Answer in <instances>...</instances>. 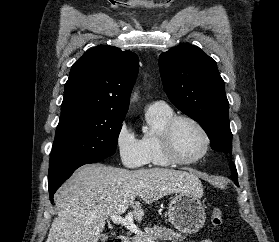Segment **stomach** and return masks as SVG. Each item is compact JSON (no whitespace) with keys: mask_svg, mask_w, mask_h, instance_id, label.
<instances>
[{"mask_svg":"<svg viewBox=\"0 0 279 242\" xmlns=\"http://www.w3.org/2000/svg\"><path fill=\"white\" fill-rule=\"evenodd\" d=\"M199 197L194 193L180 192L171 199L168 217L178 231L194 234L203 227L206 213Z\"/></svg>","mask_w":279,"mask_h":242,"instance_id":"0dacf381","label":"stomach"}]
</instances>
